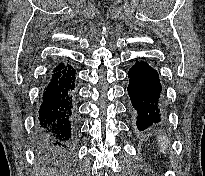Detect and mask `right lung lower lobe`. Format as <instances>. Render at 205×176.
<instances>
[{
  "label": "right lung lower lobe",
  "instance_id": "1",
  "mask_svg": "<svg viewBox=\"0 0 205 176\" xmlns=\"http://www.w3.org/2000/svg\"><path fill=\"white\" fill-rule=\"evenodd\" d=\"M75 69L57 64L50 72L39 109L36 145L49 153H72L75 140Z\"/></svg>",
  "mask_w": 205,
  "mask_h": 176
}]
</instances>
